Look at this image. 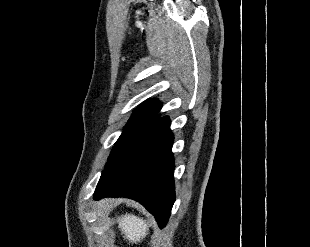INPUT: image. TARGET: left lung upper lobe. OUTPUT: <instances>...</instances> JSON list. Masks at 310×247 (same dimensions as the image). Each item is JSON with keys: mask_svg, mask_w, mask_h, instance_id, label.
Masks as SVG:
<instances>
[{"mask_svg": "<svg viewBox=\"0 0 310 247\" xmlns=\"http://www.w3.org/2000/svg\"><path fill=\"white\" fill-rule=\"evenodd\" d=\"M160 103L150 99L141 104L134 112L126 127L124 128L121 136L115 143L112 149L110 157L107 162V166L115 159L117 154L139 133L152 123L159 119L158 112L160 111ZM105 168V169H106Z\"/></svg>", "mask_w": 310, "mask_h": 247, "instance_id": "5c2ea615", "label": "left lung upper lobe"}]
</instances>
